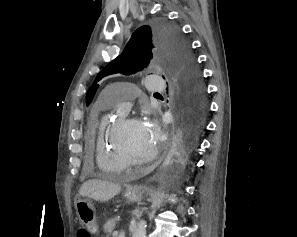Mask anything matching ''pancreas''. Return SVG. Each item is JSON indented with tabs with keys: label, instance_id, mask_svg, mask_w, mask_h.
Wrapping results in <instances>:
<instances>
[{
	"label": "pancreas",
	"instance_id": "pancreas-1",
	"mask_svg": "<svg viewBox=\"0 0 297 237\" xmlns=\"http://www.w3.org/2000/svg\"><path fill=\"white\" fill-rule=\"evenodd\" d=\"M117 221H118L117 218L109 219L103 227L104 233L111 234L116 226Z\"/></svg>",
	"mask_w": 297,
	"mask_h": 237
}]
</instances>
